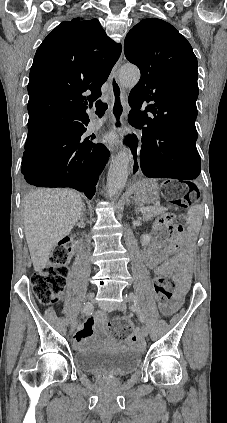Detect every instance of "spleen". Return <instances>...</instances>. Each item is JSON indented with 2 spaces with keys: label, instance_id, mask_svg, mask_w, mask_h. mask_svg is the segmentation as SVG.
<instances>
[{
  "label": "spleen",
  "instance_id": "spleen-1",
  "mask_svg": "<svg viewBox=\"0 0 227 423\" xmlns=\"http://www.w3.org/2000/svg\"><path fill=\"white\" fill-rule=\"evenodd\" d=\"M186 219L190 227H196V229H199L202 223V208H200V206H191Z\"/></svg>",
  "mask_w": 227,
  "mask_h": 423
}]
</instances>
